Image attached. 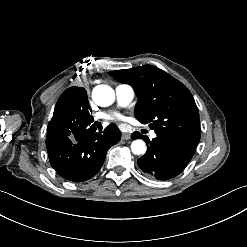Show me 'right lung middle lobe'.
<instances>
[{
  "label": "right lung middle lobe",
  "mask_w": 247,
  "mask_h": 247,
  "mask_svg": "<svg viewBox=\"0 0 247 247\" xmlns=\"http://www.w3.org/2000/svg\"><path fill=\"white\" fill-rule=\"evenodd\" d=\"M90 112L92 111L86 90L77 86L68 88L56 103L53 117L47 128V134L62 136L72 121L77 117L88 116Z\"/></svg>",
  "instance_id": "1"
}]
</instances>
